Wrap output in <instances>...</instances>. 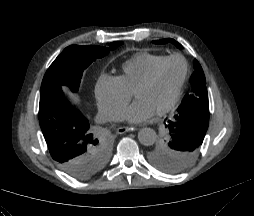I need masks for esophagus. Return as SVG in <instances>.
I'll return each mask as SVG.
<instances>
[{"mask_svg":"<svg viewBox=\"0 0 254 216\" xmlns=\"http://www.w3.org/2000/svg\"><path fill=\"white\" fill-rule=\"evenodd\" d=\"M136 130H137L136 127H125V126H123V127H119V128L117 129V133H118V134H124V133H126V132L136 131Z\"/></svg>","mask_w":254,"mask_h":216,"instance_id":"34e87169","label":"esophagus"}]
</instances>
